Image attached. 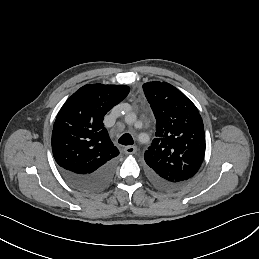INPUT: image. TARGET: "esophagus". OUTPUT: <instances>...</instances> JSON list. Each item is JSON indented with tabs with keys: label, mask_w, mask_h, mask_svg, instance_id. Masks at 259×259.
<instances>
[{
	"label": "esophagus",
	"mask_w": 259,
	"mask_h": 259,
	"mask_svg": "<svg viewBox=\"0 0 259 259\" xmlns=\"http://www.w3.org/2000/svg\"><path fill=\"white\" fill-rule=\"evenodd\" d=\"M124 152L126 154H135L137 152V147L136 146H127L124 148Z\"/></svg>",
	"instance_id": "esophagus-1"
}]
</instances>
